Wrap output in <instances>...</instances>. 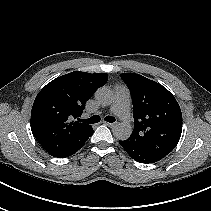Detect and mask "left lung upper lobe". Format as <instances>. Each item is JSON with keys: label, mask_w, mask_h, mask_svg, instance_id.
Returning <instances> with one entry per match:
<instances>
[{"label": "left lung upper lobe", "mask_w": 211, "mask_h": 211, "mask_svg": "<svg viewBox=\"0 0 211 211\" xmlns=\"http://www.w3.org/2000/svg\"><path fill=\"white\" fill-rule=\"evenodd\" d=\"M133 101L134 129L130 145L159 158L177 145L182 132V113L174 96L161 84L136 73L121 74Z\"/></svg>", "instance_id": "1"}]
</instances>
